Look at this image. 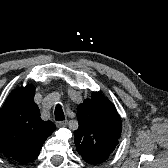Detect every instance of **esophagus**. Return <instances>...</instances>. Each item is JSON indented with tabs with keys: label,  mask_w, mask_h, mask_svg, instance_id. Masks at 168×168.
I'll return each instance as SVG.
<instances>
[{
	"label": "esophagus",
	"mask_w": 168,
	"mask_h": 168,
	"mask_svg": "<svg viewBox=\"0 0 168 168\" xmlns=\"http://www.w3.org/2000/svg\"><path fill=\"white\" fill-rule=\"evenodd\" d=\"M67 120L56 122L57 127H65L67 125Z\"/></svg>",
	"instance_id": "34e87169"
}]
</instances>
